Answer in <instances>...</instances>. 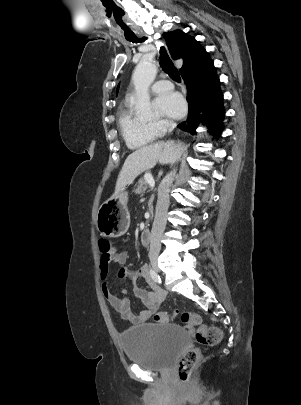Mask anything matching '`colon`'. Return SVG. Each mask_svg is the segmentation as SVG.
<instances>
[{
	"label": "colon",
	"instance_id": "1",
	"mask_svg": "<svg viewBox=\"0 0 301 405\" xmlns=\"http://www.w3.org/2000/svg\"><path fill=\"white\" fill-rule=\"evenodd\" d=\"M101 253L108 256L111 251V244L106 239H100L98 242ZM180 317L184 324L196 326L195 333L196 342L203 346H214L218 344L222 338V332L215 327H208L203 324L201 317L192 312L174 313L169 315L165 312H157L154 314V320L160 323H167L173 319ZM201 357V352L198 348L188 350L180 359L178 364L179 378L183 383H188L191 375L198 365Z\"/></svg>",
	"mask_w": 301,
	"mask_h": 405
}]
</instances>
